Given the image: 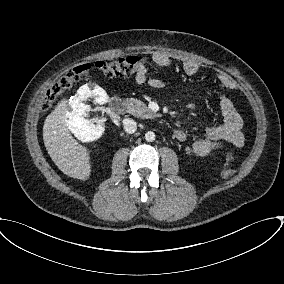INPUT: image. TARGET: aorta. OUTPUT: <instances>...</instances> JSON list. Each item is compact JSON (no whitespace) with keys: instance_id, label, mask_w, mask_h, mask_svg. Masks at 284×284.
Here are the masks:
<instances>
[{"instance_id":"1","label":"aorta","mask_w":284,"mask_h":284,"mask_svg":"<svg viewBox=\"0 0 284 284\" xmlns=\"http://www.w3.org/2000/svg\"><path fill=\"white\" fill-rule=\"evenodd\" d=\"M155 133L153 131H148L145 134V139L147 142H153L155 140Z\"/></svg>"}]
</instances>
